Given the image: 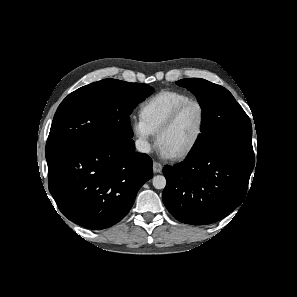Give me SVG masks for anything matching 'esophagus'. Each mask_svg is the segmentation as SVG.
Masks as SVG:
<instances>
[{"mask_svg":"<svg viewBox=\"0 0 297 297\" xmlns=\"http://www.w3.org/2000/svg\"><path fill=\"white\" fill-rule=\"evenodd\" d=\"M153 171L155 173H160L162 171V165L159 162L153 163Z\"/></svg>","mask_w":297,"mask_h":297,"instance_id":"1","label":"esophagus"}]
</instances>
